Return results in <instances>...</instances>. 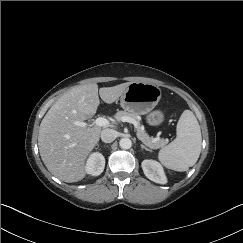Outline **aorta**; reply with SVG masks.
<instances>
[{
    "instance_id": "obj_1",
    "label": "aorta",
    "mask_w": 243,
    "mask_h": 243,
    "mask_svg": "<svg viewBox=\"0 0 243 243\" xmlns=\"http://www.w3.org/2000/svg\"><path fill=\"white\" fill-rule=\"evenodd\" d=\"M119 146L122 149H129L132 146V142L129 138H121L119 141Z\"/></svg>"
}]
</instances>
